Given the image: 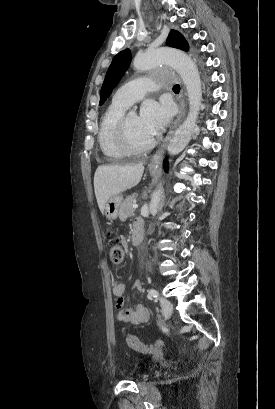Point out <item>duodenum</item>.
<instances>
[{
    "label": "duodenum",
    "mask_w": 275,
    "mask_h": 409,
    "mask_svg": "<svg viewBox=\"0 0 275 409\" xmlns=\"http://www.w3.org/2000/svg\"><path fill=\"white\" fill-rule=\"evenodd\" d=\"M143 233H144V230H143L142 224L139 222L136 223L132 230V243L134 245H138L141 242L143 238Z\"/></svg>",
    "instance_id": "duodenum-1"
}]
</instances>
